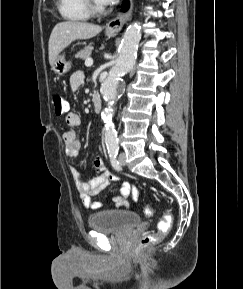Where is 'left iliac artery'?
I'll list each match as a JSON object with an SVG mask.
<instances>
[{
    "label": "left iliac artery",
    "mask_w": 243,
    "mask_h": 289,
    "mask_svg": "<svg viewBox=\"0 0 243 289\" xmlns=\"http://www.w3.org/2000/svg\"><path fill=\"white\" fill-rule=\"evenodd\" d=\"M117 155H118V151L117 150L109 152V157H110V161H111L112 166L115 169L119 170L121 167L119 165V162L116 159Z\"/></svg>",
    "instance_id": "left-iliac-artery-1"
}]
</instances>
